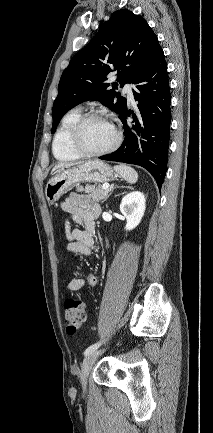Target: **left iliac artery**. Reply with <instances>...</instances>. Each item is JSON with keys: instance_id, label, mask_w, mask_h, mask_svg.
Listing matches in <instances>:
<instances>
[{"instance_id": "obj_1", "label": "left iliac artery", "mask_w": 213, "mask_h": 433, "mask_svg": "<svg viewBox=\"0 0 213 433\" xmlns=\"http://www.w3.org/2000/svg\"><path fill=\"white\" fill-rule=\"evenodd\" d=\"M100 345H101V342H97V343H95V344L89 346V347L85 350L84 355L87 356V355H89L90 353L94 352V351H95V350H96Z\"/></svg>"}]
</instances>
